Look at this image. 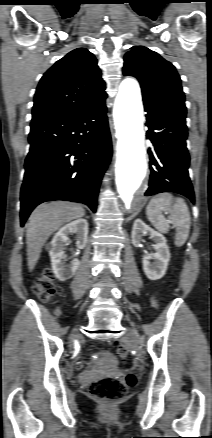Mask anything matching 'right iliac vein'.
Here are the masks:
<instances>
[{"label":"right iliac vein","instance_id":"obj_1","mask_svg":"<svg viewBox=\"0 0 212 438\" xmlns=\"http://www.w3.org/2000/svg\"><path fill=\"white\" fill-rule=\"evenodd\" d=\"M75 336H79V333L77 331L73 332V334L71 335V337H75Z\"/></svg>","mask_w":212,"mask_h":438}]
</instances>
